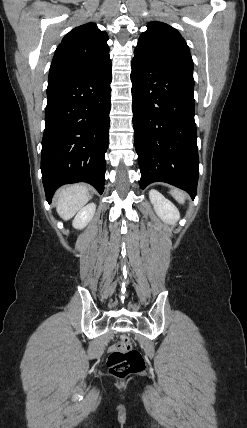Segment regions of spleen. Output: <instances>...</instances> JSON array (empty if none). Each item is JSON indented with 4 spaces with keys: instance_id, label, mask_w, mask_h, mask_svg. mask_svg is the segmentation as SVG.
<instances>
[{
    "instance_id": "spleen-1",
    "label": "spleen",
    "mask_w": 247,
    "mask_h": 428,
    "mask_svg": "<svg viewBox=\"0 0 247 428\" xmlns=\"http://www.w3.org/2000/svg\"><path fill=\"white\" fill-rule=\"evenodd\" d=\"M170 194L176 199V201H178L179 203H184L185 202V193L179 189H172L170 191Z\"/></svg>"
}]
</instances>
